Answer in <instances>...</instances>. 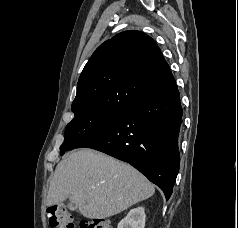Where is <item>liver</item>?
Returning <instances> with one entry per match:
<instances>
[{
	"instance_id": "6515ba94",
	"label": "liver",
	"mask_w": 238,
	"mask_h": 228,
	"mask_svg": "<svg viewBox=\"0 0 238 228\" xmlns=\"http://www.w3.org/2000/svg\"><path fill=\"white\" fill-rule=\"evenodd\" d=\"M153 184L132 166L92 149L65 157L50 182L47 205L69 198L81 215L104 219L151 197Z\"/></svg>"
}]
</instances>
